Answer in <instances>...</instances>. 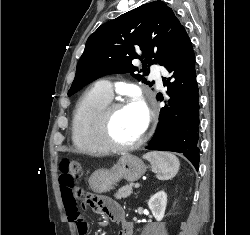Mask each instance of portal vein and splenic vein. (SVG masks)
Here are the masks:
<instances>
[{
  "instance_id": "obj_1",
  "label": "portal vein and splenic vein",
  "mask_w": 250,
  "mask_h": 235,
  "mask_svg": "<svg viewBox=\"0 0 250 235\" xmlns=\"http://www.w3.org/2000/svg\"><path fill=\"white\" fill-rule=\"evenodd\" d=\"M139 186H140V185L137 183V184H135L134 187L137 189V188H139Z\"/></svg>"
}]
</instances>
